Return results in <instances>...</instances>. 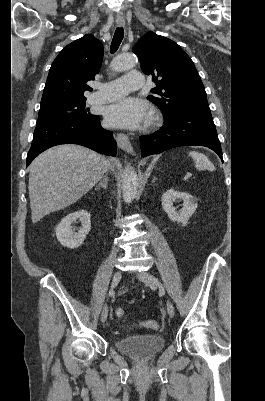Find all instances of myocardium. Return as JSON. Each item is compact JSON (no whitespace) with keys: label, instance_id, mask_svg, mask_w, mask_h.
<instances>
[{"label":"myocardium","instance_id":"1","mask_svg":"<svg viewBox=\"0 0 265 401\" xmlns=\"http://www.w3.org/2000/svg\"><path fill=\"white\" fill-rule=\"evenodd\" d=\"M160 114L158 111L153 110L150 114V118H149V124L154 126L156 125L159 121H160Z\"/></svg>","mask_w":265,"mask_h":401}]
</instances>
